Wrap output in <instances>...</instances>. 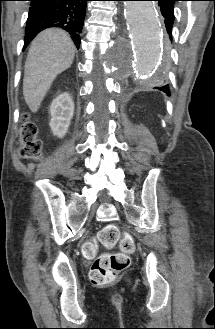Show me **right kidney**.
I'll list each match as a JSON object with an SVG mask.
<instances>
[{
  "mask_svg": "<svg viewBox=\"0 0 215 329\" xmlns=\"http://www.w3.org/2000/svg\"><path fill=\"white\" fill-rule=\"evenodd\" d=\"M50 127L53 134L63 138L74 115V102L70 94L63 93L52 101L50 106Z\"/></svg>",
  "mask_w": 215,
  "mask_h": 329,
  "instance_id": "right-kidney-1",
  "label": "right kidney"
}]
</instances>
